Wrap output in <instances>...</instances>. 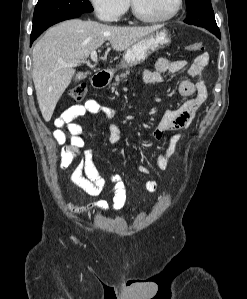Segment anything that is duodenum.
I'll list each match as a JSON object with an SVG mask.
<instances>
[{"instance_id":"duodenum-1","label":"duodenum","mask_w":247,"mask_h":299,"mask_svg":"<svg viewBox=\"0 0 247 299\" xmlns=\"http://www.w3.org/2000/svg\"><path fill=\"white\" fill-rule=\"evenodd\" d=\"M111 77L109 69L101 70L96 73L92 78V84L95 88H102L107 85Z\"/></svg>"}]
</instances>
